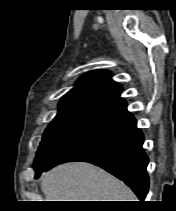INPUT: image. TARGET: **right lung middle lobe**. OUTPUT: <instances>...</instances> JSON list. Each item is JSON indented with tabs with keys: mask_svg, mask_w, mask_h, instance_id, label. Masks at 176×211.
I'll return each instance as SVG.
<instances>
[{
	"mask_svg": "<svg viewBox=\"0 0 176 211\" xmlns=\"http://www.w3.org/2000/svg\"><path fill=\"white\" fill-rule=\"evenodd\" d=\"M96 125L93 122L55 117L45 130L38 148L34 162L35 171L48 165L58 154Z\"/></svg>",
	"mask_w": 176,
	"mask_h": 211,
	"instance_id": "right-lung-middle-lobe-1",
	"label": "right lung middle lobe"
}]
</instances>
